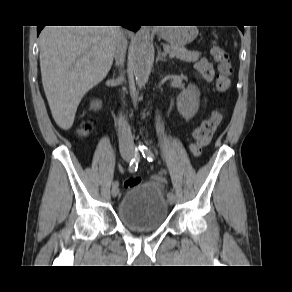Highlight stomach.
Segmentation results:
<instances>
[{
	"label": "stomach",
	"instance_id": "stomach-1",
	"mask_svg": "<svg viewBox=\"0 0 292 292\" xmlns=\"http://www.w3.org/2000/svg\"><path fill=\"white\" fill-rule=\"evenodd\" d=\"M160 36L171 45L182 46L197 36V29L193 27H167L161 30Z\"/></svg>",
	"mask_w": 292,
	"mask_h": 292
}]
</instances>
